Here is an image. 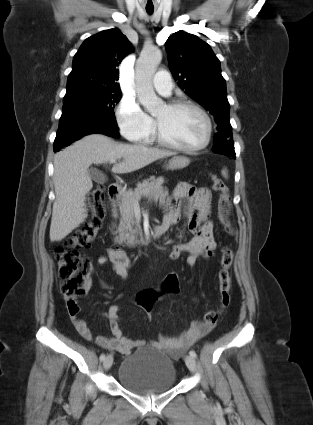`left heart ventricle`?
Masks as SVG:
<instances>
[{"mask_svg":"<svg viewBox=\"0 0 313 425\" xmlns=\"http://www.w3.org/2000/svg\"><path fill=\"white\" fill-rule=\"evenodd\" d=\"M154 116L164 137L173 143L190 148L204 140L205 121L193 109L170 110L164 106Z\"/></svg>","mask_w":313,"mask_h":425,"instance_id":"left-heart-ventricle-1","label":"left heart ventricle"}]
</instances>
